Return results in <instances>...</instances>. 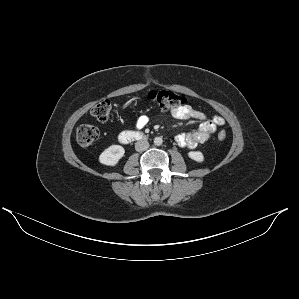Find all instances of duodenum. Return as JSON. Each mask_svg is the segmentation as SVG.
Masks as SVG:
<instances>
[{"label": "duodenum", "instance_id": "duodenum-1", "mask_svg": "<svg viewBox=\"0 0 299 299\" xmlns=\"http://www.w3.org/2000/svg\"><path fill=\"white\" fill-rule=\"evenodd\" d=\"M146 136L140 132L125 131L120 134L119 141L121 143H127L129 141H145Z\"/></svg>", "mask_w": 299, "mask_h": 299}]
</instances>
